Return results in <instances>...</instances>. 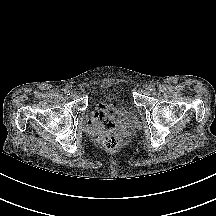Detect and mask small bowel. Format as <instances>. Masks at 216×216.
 Listing matches in <instances>:
<instances>
[{
    "mask_svg": "<svg viewBox=\"0 0 216 216\" xmlns=\"http://www.w3.org/2000/svg\"><path fill=\"white\" fill-rule=\"evenodd\" d=\"M124 111L112 100L99 103L91 112L88 125L94 131L114 126L115 119Z\"/></svg>",
    "mask_w": 216,
    "mask_h": 216,
    "instance_id": "1",
    "label": "small bowel"
}]
</instances>
